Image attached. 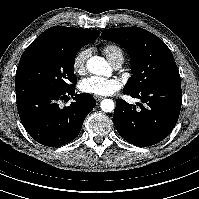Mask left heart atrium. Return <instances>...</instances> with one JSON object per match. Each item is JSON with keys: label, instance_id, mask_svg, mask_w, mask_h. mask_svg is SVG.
I'll return each mask as SVG.
<instances>
[{"label": "left heart atrium", "instance_id": "1", "mask_svg": "<svg viewBox=\"0 0 199 199\" xmlns=\"http://www.w3.org/2000/svg\"><path fill=\"white\" fill-rule=\"evenodd\" d=\"M121 88V83L116 78H103L91 76L80 81L79 89L85 94L94 96H107Z\"/></svg>", "mask_w": 199, "mask_h": 199}]
</instances>
